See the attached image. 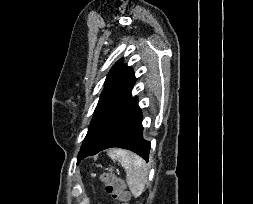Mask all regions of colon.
Here are the masks:
<instances>
[{
	"label": "colon",
	"instance_id": "5ec220e1",
	"mask_svg": "<svg viewBox=\"0 0 253 204\" xmlns=\"http://www.w3.org/2000/svg\"><path fill=\"white\" fill-rule=\"evenodd\" d=\"M92 178L97 179L105 185L106 192L118 204H126L129 195L125 188L124 181L112 173H103L100 175H92Z\"/></svg>",
	"mask_w": 253,
	"mask_h": 204
}]
</instances>
